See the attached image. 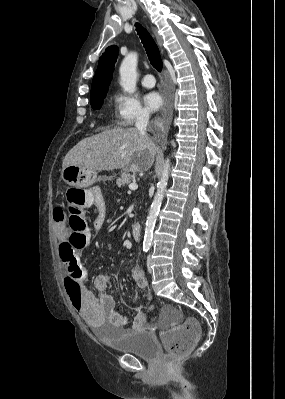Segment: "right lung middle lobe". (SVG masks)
I'll list each match as a JSON object with an SVG mask.
<instances>
[{
  "label": "right lung middle lobe",
  "instance_id": "obj_1",
  "mask_svg": "<svg viewBox=\"0 0 285 399\" xmlns=\"http://www.w3.org/2000/svg\"><path fill=\"white\" fill-rule=\"evenodd\" d=\"M107 92L98 94L94 97H91V106L93 109H100L102 106L103 100L106 97Z\"/></svg>",
  "mask_w": 285,
  "mask_h": 399
}]
</instances>
